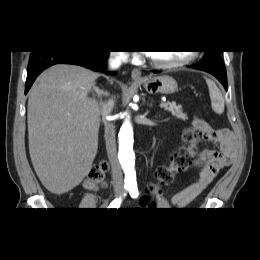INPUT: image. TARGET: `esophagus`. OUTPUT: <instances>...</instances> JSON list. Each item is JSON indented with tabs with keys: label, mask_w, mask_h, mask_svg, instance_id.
<instances>
[{
	"label": "esophagus",
	"mask_w": 260,
	"mask_h": 260,
	"mask_svg": "<svg viewBox=\"0 0 260 260\" xmlns=\"http://www.w3.org/2000/svg\"><path fill=\"white\" fill-rule=\"evenodd\" d=\"M131 77L133 80H142V73L139 68H134L131 72Z\"/></svg>",
	"instance_id": "1"
}]
</instances>
